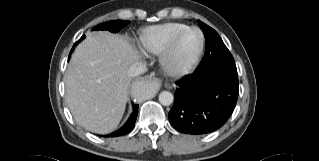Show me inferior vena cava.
<instances>
[{
  "instance_id": "inferior-vena-cava-1",
  "label": "inferior vena cava",
  "mask_w": 319,
  "mask_h": 161,
  "mask_svg": "<svg viewBox=\"0 0 319 161\" xmlns=\"http://www.w3.org/2000/svg\"><path fill=\"white\" fill-rule=\"evenodd\" d=\"M146 71V65L142 62H135L130 68H129V76H138L140 74H143Z\"/></svg>"
}]
</instances>
